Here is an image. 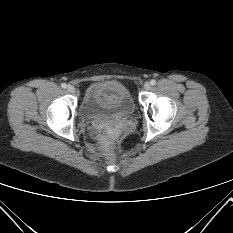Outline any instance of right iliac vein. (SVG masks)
<instances>
[{
	"label": "right iliac vein",
	"instance_id": "63e3f726",
	"mask_svg": "<svg viewBox=\"0 0 233 233\" xmlns=\"http://www.w3.org/2000/svg\"><path fill=\"white\" fill-rule=\"evenodd\" d=\"M67 91L69 92V93H75V88H74V86H72V85H68L67 86Z\"/></svg>",
	"mask_w": 233,
	"mask_h": 233
}]
</instances>
